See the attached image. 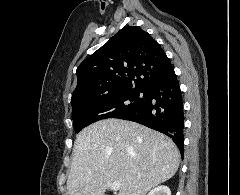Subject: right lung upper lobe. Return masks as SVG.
<instances>
[{
    "label": "right lung upper lobe",
    "instance_id": "obj_1",
    "mask_svg": "<svg viewBox=\"0 0 240 195\" xmlns=\"http://www.w3.org/2000/svg\"><path fill=\"white\" fill-rule=\"evenodd\" d=\"M160 44L137 26H126L77 68L71 102L124 89L145 90L172 73Z\"/></svg>",
    "mask_w": 240,
    "mask_h": 195
}]
</instances>
